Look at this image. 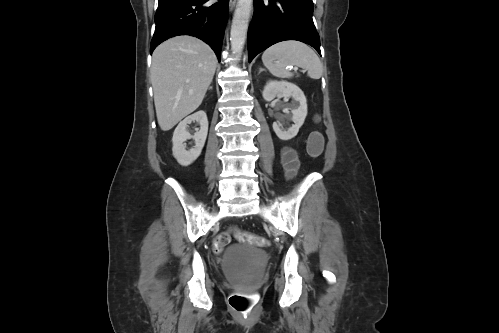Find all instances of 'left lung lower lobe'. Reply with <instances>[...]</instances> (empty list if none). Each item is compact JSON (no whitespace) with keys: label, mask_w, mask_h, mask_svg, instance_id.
<instances>
[{"label":"left lung lower lobe","mask_w":499,"mask_h":333,"mask_svg":"<svg viewBox=\"0 0 499 333\" xmlns=\"http://www.w3.org/2000/svg\"><path fill=\"white\" fill-rule=\"evenodd\" d=\"M312 0H254V15L248 29L249 62L271 45L297 40L320 52V38L314 26Z\"/></svg>","instance_id":"1"}]
</instances>
